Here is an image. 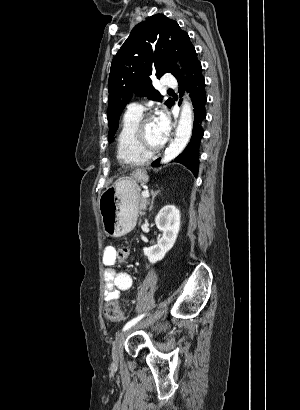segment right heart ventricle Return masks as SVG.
<instances>
[{"instance_id":"right-heart-ventricle-1","label":"right heart ventricle","mask_w":300,"mask_h":410,"mask_svg":"<svg viewBox=\"0 0 300 410\" xmlns=\"http://www.w3.org/2000/svg\"><path fill=\"white\" fill-rule=\"evenodd\" d=\"M141 113L127 111L121 121L117 134V158L120 162L131 165H142L149 159V155L138 149L134 142V128Z\"/></svg>"}]
</instances>
